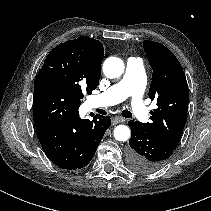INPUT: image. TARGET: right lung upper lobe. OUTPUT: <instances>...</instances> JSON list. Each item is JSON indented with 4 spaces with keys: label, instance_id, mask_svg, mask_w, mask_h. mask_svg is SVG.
<instances>
[{
    "label": "right lung upper lobe",
    "instance_id": "1",
    "mask_svg": "<svg viewBox=\"0 0 211 211\" xmlns=\"http://www.w3.org/2000/svg\"><path fill=\"white\" fill-rule=\"evenodd\" d=\"M64 45L69 48L88 76L98 83L101 76V63L104 57V48L100 41L81 36L75 40L66 41Z\"/></svg>",
    "mask_w": 211,
    "mask_h": 211
}]
</instances>
